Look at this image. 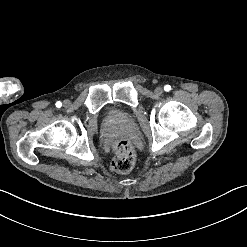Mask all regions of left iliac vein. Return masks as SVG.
Wrapping results in <instances>:
<instances>
[{
    "mask_svg": "<svg viewBox=\"0 0 247 247\" xmlns=\"http://www.w3.org/2000/svg\"><path fill=\"white\" fill-rule=\"evenodd\" d=\"M154 92H155L156 95L160 96V95L163 94L164 90H163L162 87L159 86V87H156Z\"/></svg>",
    "mask_w": 247,
    "mask_h": 247,
    "instance_id": "left-iliac-vein-1",
    "label": "left iliac vein"
}]
</instances>
